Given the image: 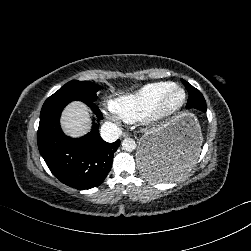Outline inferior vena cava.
I'll list each match as a JSON object with an SVG mask.
<instances>
[{
    "instance_id": "inferior-vena-cava-1",
    "label": "inferior vena cava",
    "mask_w": 251,
    "mask_h": 251,
    "mask_svg": "<svg viewBox=\"0 0 251 251\" xmlns=\"http://www.w3.org/2000/svg\"><path fill=\"white\" fill-rule=\"evenodd\" d=\"M100 135L104 141L112 143L122 135V130L112 122H105L101 126Z\"/></svg>"
}]
</instances>
